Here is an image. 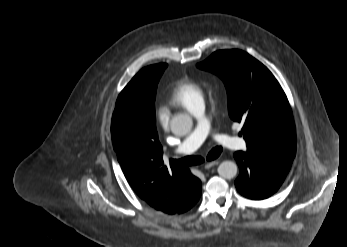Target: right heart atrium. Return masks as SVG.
I'll return each instance as SVG.
<instances>
[{
  "label": "right heart atrium",
  "instance_id": "right-heart-atrium-1",
  "mask_svg": "<svg viewBox=\"0 0 347 247\" xmlns=\"http://www.w3.org/2000/svg\"><path fill=\"white\" fill-rule=\"evenodd\" d=\"M157 121L163 129H167L170 125V116L165 110L160 109L157 112Z\"/></svg>",
  "mask_w": 347,
  "mask_h": 247
}]
</instances>
